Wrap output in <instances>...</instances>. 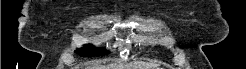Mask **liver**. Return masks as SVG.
<instances>
[{
    "mask_svg": "<svg viewBox=\"0 0 246 69\" xmlns=\"http://www.w3.org/2000/svg\"><path fill=\"white\" fill-rule=\"evenodd\" d=\"M96 67H102V66H96ZM103 67H119V66L112 65V66H103ZM127 67H136L134 69H154L156 67V65L134 63L133 65H129ZM89 69H113V68H89ZM116 69H118V68H116Z\"/></svg>",
    "mask_w": 246,
    "mask_h": 69,
    "instance_id": "1",
    "label": "liver"
}]
</instances>
